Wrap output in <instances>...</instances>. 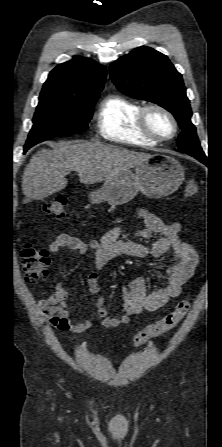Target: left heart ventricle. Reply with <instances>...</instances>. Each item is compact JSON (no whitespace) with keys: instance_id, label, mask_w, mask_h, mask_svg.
<instances>
[{"instance_id":"obj_1","label":"left heart ventricle","mask_w":222,"mask_h":447,"mask_svg":"<svg viewBox=\"0 0 222 447\" xmlns=\"http://www.w3.org/2000/svg\"><path fill=\"white\" fill-rule=\"evenodd\" d=\"M148 125L154 133L160 136H169L173 130L170 120L158 111L149 112Z\"/></svg>"}]
</instances>
